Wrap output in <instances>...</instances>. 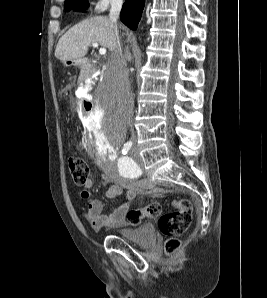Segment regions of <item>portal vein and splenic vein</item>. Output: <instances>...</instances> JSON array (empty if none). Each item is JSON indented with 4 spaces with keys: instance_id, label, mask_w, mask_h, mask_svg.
<instances>
[{
    "instance_id": "18ae733b",
    "label": "portal vein and splenic vein",
    "mask_w": 267,
    "mask_h": 298,
    "mask_svg": "<svg viewBox=\"0 0 267 298\" xmlns=\"http://www.w3.org/2000/svg\"><path fill=\"white\" fill-rule=\"evenodd\" d=\"M92 46L93 47H98V43L97 42H94V43H92ZM99 53L101 54V55H105L106 54V49L103 47V48H100L99 49Z\"/></svg>"
}]
</instances>
